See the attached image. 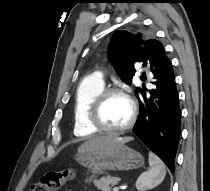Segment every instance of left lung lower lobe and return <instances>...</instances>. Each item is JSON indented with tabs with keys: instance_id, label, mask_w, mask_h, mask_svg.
<instances>
[{
	"instance_id": "0a47b994",
	"label": "left lung lower lobe",
	"mask_w": 210,
	"mask_h": 191,
	"mask_svg": "<svg viewBox=\"0 0 210 191\" xmlns=\"http://www.w3.org/2000/svg\"><path fill=\"white\" fill-rule=\"evenodd\" d=\"M151 71L154 88L147 90L143 87L138 95L140 113L133 132L174 173L181 133V110L173 66L166 56Z\"/></svg>"
}]
</instances>
